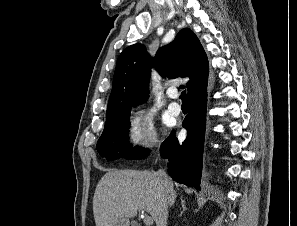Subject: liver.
Instances as JSON below:
<instances>
[{"instance_id":"6515ba94","label":"liver","mask_w":297,"mask_h":226,"mask_svg":"<svg viewBox=\"0 0 297 226\" xmlns=\"http://www.w3.org/2000/svg\"><path fill=\"white\" fill-rule=\"evenodd\" d=\"M140 210L152 216L156 226H167L166 188L156 173L138 170H110L99 181L93 197L96 226H115Z\"/></svg>"}]
</instances>
